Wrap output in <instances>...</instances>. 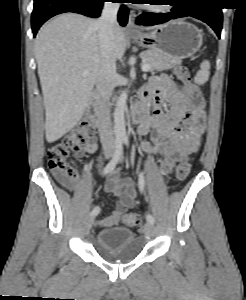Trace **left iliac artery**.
<instances>
[{
	"instance_id": "1",
	"label": "left iliac artery",
	"mask_w": 246,
	"mask_h": 300,
	"mask_svg": "<svg viewBox=\"0 0 246 300\" xmlns=\"http://www.w3.org/2000/svg\"><path fill=\"white\" fill-rule=\"evenodd\" d=\"M124 142L126 144H128V139L124 138ZM144 189H145V177H144V174L142 172H140L139 173V190L141 193H143ZM146 219L148 222H151V223L155 222L154 217L149 213L146 215Z\"/></svg>"
}]
</instances>
